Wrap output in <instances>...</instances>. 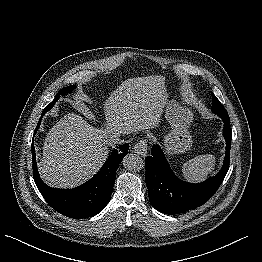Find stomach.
Listing matches in <instances>:
<instances>
[{
  "instance_id": "0dacf381",
  "label": "stomach",
  "mask_w": 262,
  "mask_h": 262,
  "mask_svg": "<svg viewBox=\"0 0 262 262\" xmlns=\"http://www.w3.org/2000/svg\"><path fill=\"white\" fill-rule=\"evenodd\" d=\"M165 118L172 128L164 139L167 154L185 153L192 144V138L188 131L193 121L192 111L178 101L170 99L165 103Z\"/></svg>"
}]
</instances>
